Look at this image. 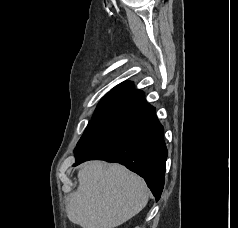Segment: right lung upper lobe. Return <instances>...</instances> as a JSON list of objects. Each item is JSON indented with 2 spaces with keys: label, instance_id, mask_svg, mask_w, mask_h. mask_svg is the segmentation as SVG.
Wrapping results in <instances>:
<instances>
[{
  "label": "right lung upper lobe",
  "instance_id": "right-lung-upper-lobe-1",
  "mask_svg": "<svg viewBox=\"0 0 238 228\" xmlns=\"http://www.w3.org/2000/svg\"><path fill=\"white\" fill-rule=\"evenodd\" d=\"M147 104L144 93L133 89L132 82L115 86L98 104L94 115L121 117L128 112Z\"/></svg>",
  "mask_w": 238,
  "mask_h": 228
}]
</instances>
